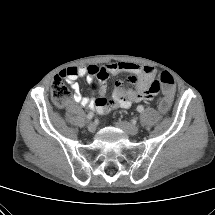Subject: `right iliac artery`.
I'll list each match as a JSON object with an SVG mask.
<instances>
[{
  "instance_id": "1",
  "label": "right iliac artery",
  "mask_w": 215,
  "mask_h": 215,
  "mask_svg": "<svg viewBox=\"0 0 215 215\" xmlns=\"http://www.w3.org/2000/svg\"><path fill=\"white\" fill-rule=\"evenodd\" d=\"M93 116H94L93 112L88 113L87 120H91L93 118Z\"/></svg>"
}]
</instances>
